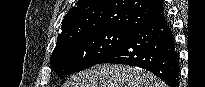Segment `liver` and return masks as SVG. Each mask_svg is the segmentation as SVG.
<instances>
[{
  "mask_svg": "<svg viewBox=\"0 0 205 87\" xmlns=\"http://www.w3.org/2000/svg\"><path fill=\"white\" fill-rule=\"evenodd\" d=\"M65 87H164V84L145 70L102 64L74 74Z\"/></svg>",
  "mask_w": 205,
  "mask_h": 87,
  "instance_id": "liver-1",
  "label": "liver"
}]
</instances>
